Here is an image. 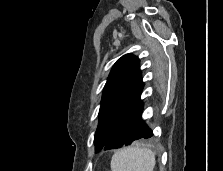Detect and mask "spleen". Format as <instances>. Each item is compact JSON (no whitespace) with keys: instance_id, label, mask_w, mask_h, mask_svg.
<instances>
[{"instance_id":"spleen-1","label":"spleen","mask_w":223,"mask_h":171,"mask_svg":"<svg viewBox=\"0 0 223 171\" xmlns=\"http://www.w3.org/2000/svg\"><path fill=\"white\" fill-rule=\"evenodd\" d=\"M155 154L147 148H124L112 157V171H153Z\"/></svg>"}]
</instances>
